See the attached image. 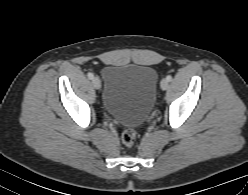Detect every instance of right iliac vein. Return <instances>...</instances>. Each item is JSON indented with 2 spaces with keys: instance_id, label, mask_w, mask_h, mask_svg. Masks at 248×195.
Instances as JSON below:
<instances>
[{
  "instance_id": "1",
  "label": "right iliac vein",
  "mask_w": 248,
  "mask_h": 195,
  "mask_svg": "<svg viewBox=\"0 0 248 195\" xmlns=\"http://www.w3.org/2000/svg\"><path fill=\"white\" fill-rule=\"evenodd\" d=\"M92 84H93L95 89H100V87H101V82H100L99 78H97V77L93 78Z\"/></svg>"
}]
</instances>
